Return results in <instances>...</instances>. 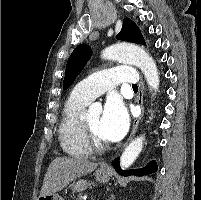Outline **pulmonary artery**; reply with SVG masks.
<instances>
[{"label":"pulmonary artery","mask_w":201,"mask_h":200,"mask_svg":"<svg viewBox=\"0 0 201 200\" xmlns=\"http://www.w3.org/2000/svg\"><path fill=\"white\" fill-rule=\"evenodd\" d=\"M138 80L131 66L121 65L87 77L73 88L72 94L90 102L119 83L136 84Z\"/></svg>","instance_id":"e3ab8cb5"}]
</instances>
